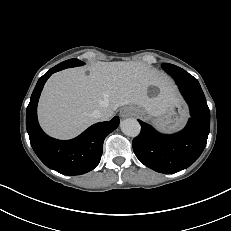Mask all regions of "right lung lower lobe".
<instances>
[{"mask_svg":"<svg viewBox=\"0 0 231 231\" xmlns=\"http://www.w3.org/2000/svg\"><path fill=\"white\" fill-rule=\"evenodd\" d=\"M65 69L55 66L38 80L26 111V128L31 146L39 159L50 169L64 175H81L100 162L105 137L119 125V117L92 125L78 137L61 141L46 135L37 120V104L51 74Z\"/></svg>","mask_w":231,"mask_h":231,"instance_id":"right-lung-lower-lobe-1","label":"right lung lower lobe"}]
</instances>
